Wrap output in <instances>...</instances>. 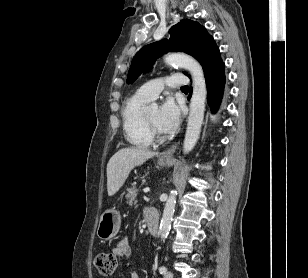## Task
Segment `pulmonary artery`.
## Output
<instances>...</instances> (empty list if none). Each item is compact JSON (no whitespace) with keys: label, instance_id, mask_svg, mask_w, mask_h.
<instances>
[{"label":"pulmonary artery","instance_id":"pulmonary-artery-1","mask_svg":"<svg viewBox=\"0 0 308 278\" xmlns=\"http://www.w3.org/2000/svg\"><path fill=\"white\" fill-rule=\"evenodd\" d=\"M188 83L189 79L185 75L173 74L164 79H155L143 84L137 93L148 100H153L161 93L165 86L178 88L186 86Z\"/></svg>","mask_w":308,"mask_h":278}]
</instances>
